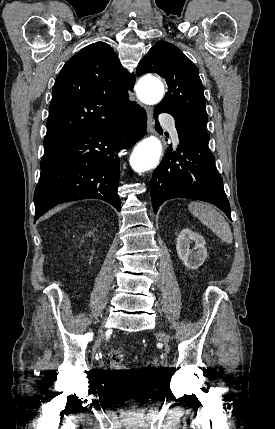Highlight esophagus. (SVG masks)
Wrapping results in <instances>:
<instances>
[{
    "instance_id": "34e87169",
    "label": "esophagus",
    "mask_w": 275,
    "mask_h": 429,
    "mask_svg": "<svg viewBox=\"0 0 275 429\" xmlns=\"http://www.w3.org/2000/svg\"><path fill=\"white\" fill-rule=\"evenodd\" d=\"M146 113H147V131L149 133H154V121L152 117V109L148 106L145 107Z\"/></svg>"
}]
</instances>
